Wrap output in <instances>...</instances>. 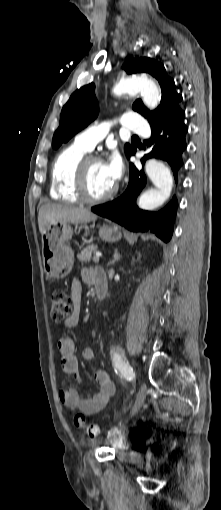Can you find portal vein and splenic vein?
Returning <instances> with one entry per match:
<instances>
[{"label":"portal vein and splenic vein","instance_id":"1","mask_svg":"<svg viewBox=\"0 0 221 510\" xmlns=\"http://www.w3.org/2000/svg\"><path fill=\"white\" fill-rule=\"evenodd\" d=\"M101 254L96 253L93 257V262L98 263L100 259Z\"/></svg>","mask_w":221,"mask_h":510}]
</instances>
